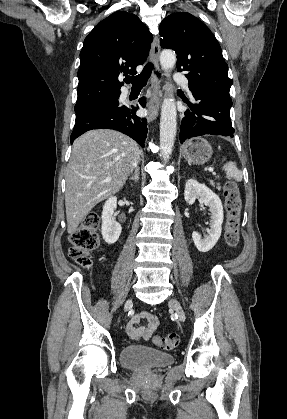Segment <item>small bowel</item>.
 I'll use <instances>...</instances> for the list:
<instances>
[{
	"label": "small bowel",
	"instance_id": "1",
	"mask_svg": "<svg viewBox=\"0 0 287 419\" xmlns=\"http://www.w3.org/2000/svg\"><path fill=\"white\" fill-rule=\"evenodd\" d=\"M146 324L142 325L141 322ZM156 315L143 311L133 316L126 325V332L133 340H148L158 328Z\"/></svg>",
	"mask_w": 287,
	"mask_h": 419
}]
</instances>
